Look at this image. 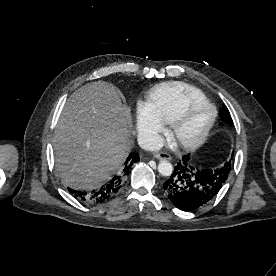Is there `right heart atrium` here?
I'll use <instances>...</instances> for the list:
<instances>
[{
    "label": "right heart atrium",
    "mask_w": 276,
    "mask_h": 276,
    "mask_svg": "<svg viewBox=\"0 0 276 276\" xmlns=\"http://www.w3.org/2000/svg\"><path fill=\"white\" fill-rule=\"evenodd\" d=\"M138 128L148 144H157L160 140L163 124L144 110L139 117Z\"/></svg>",
    "instance_id": "d8ad5b80"
}]
</instances>
